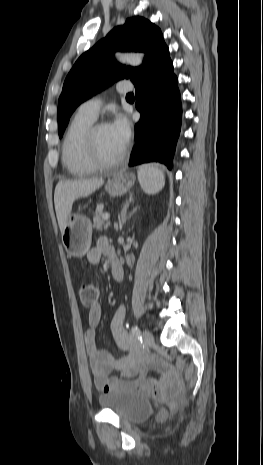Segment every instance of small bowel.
Instances as JSON below:
<instances>
[{
	"label": "small bowel",
	"instance_id": "c3829d8e",
	"mask_svg": "<svg viewBox=\"0 0 263 465\" xmlns=\"http://www.w3.org/2000/svg\"><path fill=\"white\" fill-rule=\"evenodd\" d=\"M115 255L105 238L99 239L96 246L87 253L90 264H98L101 258ZM125 307L119 305L113 315L111 330L118 346L124 351L118 355L98 349L95 344L96 329L102 320V308L96 304L88 312V329L84 333L85 349L96 387L106 393L116 389H132L158 395L162 389L175 381L167 370L157 368L159 377L147 376L149 364L143 361L139 346L124 328ZM113 371L122 372V377L111 376Z\"/></svg>",
	"mask_w": 263,
	"mask_h": 465
}]
</instances>
